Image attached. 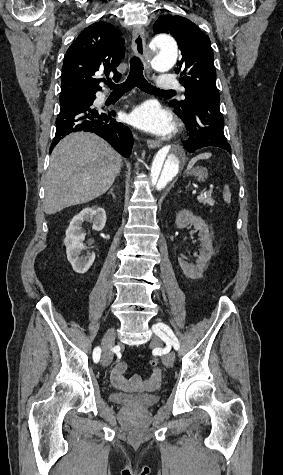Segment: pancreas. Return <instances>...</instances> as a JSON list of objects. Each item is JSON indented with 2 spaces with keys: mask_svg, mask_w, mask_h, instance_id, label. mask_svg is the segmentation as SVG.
Masks as SVG:
<instances>
[{
  "mask_svg": "<svg viewBox=\"0 0 283 475\" xmlns=\"http://www.w3.org/2000/svg\"><path fill=\"white\" fill-rule=\"evenodd\" d=\"M197 200L200 202V204H207V206H214L215 204V200L212 198L211 192L210 194H207V196H198Z\"/></svg>",
  "mask_w": 283,
  "mask_h": 475,
  "instance_id": "pancreas-1",
  "label": "pancreas"
}]
</instances>
